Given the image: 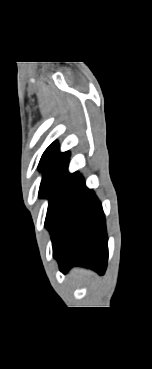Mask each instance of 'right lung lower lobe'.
<instances>
[{
    "label": "right lung lower lobe",
    "instance_id": "obj_1",
    "mask_svg": "<svg viewBox=\"0 0 152 369\" xmlns=\"http://www.w3.org/2000/svg\"><path fill=\"white\" fill-rule=\"evenodd\" d=\"M53 255L64 273L83 266L103 274L108 260L105 216L94 192L77 174L50 230Z\"/></svg>",
    "mask_w": 152,
    "mask_h": 369
}]
</instances>
